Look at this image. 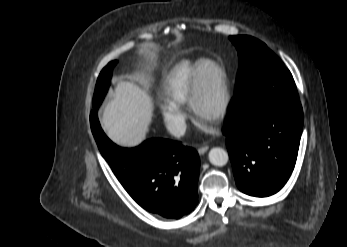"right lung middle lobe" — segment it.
Masks as SVG:
<instances>
[{
  "mask_svg": "<svg viewBox=\"0 0 347 247\" xmlns=\"http://www.w3.org/2000/svg\"><path fill=\"white\" fill-rule=\"evenodd\" d=\"M117 61L110 62L100 73L97 84H96V90L94 95V105L97 107L102 102L107 90L108 86L110 84L111 79V73L113 67L116 65Z\"/></svg>",
  "mask_w": 347,
  "mask_h": 247,
  "instance_id": "1",
  "label": "right lung middle lobe"
}]
</instances>
